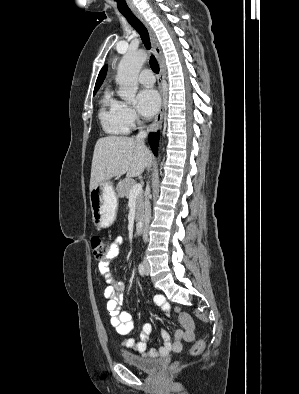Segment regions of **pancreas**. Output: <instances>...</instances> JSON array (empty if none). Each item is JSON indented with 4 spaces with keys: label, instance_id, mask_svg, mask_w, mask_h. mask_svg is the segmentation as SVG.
<instances>
[{
    "label": "pancreas",
    "instance_id": "pancreas-1",
    "mask_svg": "<svg viewBox=\"0 0 299 394\" xmlns=\"http://www.w3.org/2000/svg\"><path fill=\"white\" fill-rule=\"evenodd\" d=\"M134 185H136V182L133 179L130 178L123 179L118 185V189H117L118 196L121 198L129 197L130 190ZM143 198H144L143 192H140L137 195V199H136V206H137L136 219H139L143 211Z\"/></svg>",
    "mask_w": 299,
    "mask_h": 394
}]
</instances>
